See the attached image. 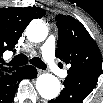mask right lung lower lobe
I'll use <instances>...</instances> for the list:
<instances>
[{"label": "right lung lower lobe", "instance_id": "1", "mask_svg": "<svg viewBox=\"0 0 103 103\" xmlns=\"http://www.w3.org/2000/svg\"><path fill=\"white\" fill-rule=\"evenodd\" d=\"M37 71L30 65L24 66L12 74L0 77V103H11L19 83L25 78H34Z\"/></svg>", "mask_w": 103, "mask_h": 103}]
</instances>
